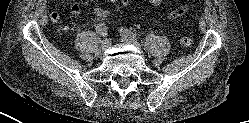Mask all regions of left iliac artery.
<instances>
[{"label": "left iliac artery", "mask_w": 249, "mask_h": 123, "mask_svg": "<svg viewBox=\"0 0 249 123\" xmlns=\"http://www.w3.org/2000/svg\"><path fill=\"white\" fill-rule=\"evenodd\" d=\"M120 32L123 33V34H125V35H127V36H129V37L136 38V39L138 38V36H137L136 33L130 31L127 28H121Z\"/></svg>", "instance_id": "obj_1"}]
</instances>
